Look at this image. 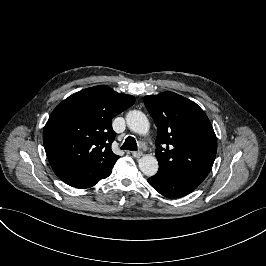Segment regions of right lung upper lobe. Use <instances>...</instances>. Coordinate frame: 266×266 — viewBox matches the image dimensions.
I'll return each mask as SVG.
<instances>
[{
	"mask_svg": "<svg viewBox=\"0 0 266 266\" xmlns=\"http://www.w3.org/2000/svg\"><path fill=\"white\" fill-rule=\"evenodd\" d=\"M135 102L107 86L72 94L50 115L43 131L47 158L66 184L81 187L109 175L119 156L111 150L112 119Z\"/></svg>",
	"mask_w": 266,
	"mask_h": 266,
	"instance_id": "cb5924a9",
	"label": "right lung upper lobe"
}]
</instances>
